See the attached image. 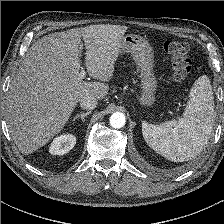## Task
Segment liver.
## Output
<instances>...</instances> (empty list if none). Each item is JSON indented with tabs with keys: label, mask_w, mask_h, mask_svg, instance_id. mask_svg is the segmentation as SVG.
<instances>
[{
	"label": "liver",
	"mask_w": 224,
	"mask_h": 224,
	"mask_svg": "<svg viewBox=\"0 0 224 224\" xmlns=\"http://www.w3.org/2000/svg\"><path fill=\"white\" fill-rule=\"evenodd\" d=\"M121 25H91L42 37L27 51L10 84L6 120L19 151L28 155L59 134L77 103L85 96L103 99L114 65L122 52ZM83 38L89 75L102 82L79 79Z\"/></svg>",
	"instance_id": "liver-1"
}]
</instances>
